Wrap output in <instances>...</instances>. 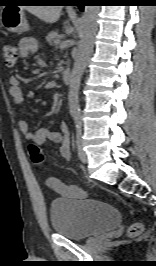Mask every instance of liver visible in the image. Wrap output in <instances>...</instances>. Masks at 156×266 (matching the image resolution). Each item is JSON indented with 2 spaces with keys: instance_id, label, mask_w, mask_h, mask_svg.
I'll list each match as a JSON object with an SVG mask.
<instances>
[{
  "instance_id": "6515ba94",
  "label": "liver",
  "mask_w": 156,
  "mask_h": 266,
  "mask_svg": "<svg viewBox=\"0 0 156 266\" xmlns=\"http://www.w3.org/2000/svg\"><path fill=\"white\" fill-rule=\"evenodd\" d=\"M24 8L46 23L57 22L62 11V6H26Z\"/></svg>"
}]
</instances>
